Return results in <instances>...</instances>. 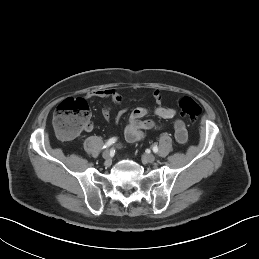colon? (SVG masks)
Masks as SVG:
<instances>
[{
    "mask_svg": "<svg viewBox=\"0 0 259 259\" xmlns=\"http://www.w3.org/2000/svg\"><path fill=\"white\" fill-rule=\"evenodd\" d=\"M181 114L195 122L201 113L199 104L191 97L184 96L178 101ZM91 123V111L82 98H69L61 102L55 110L53 127L62 137L72 139Z\"/></svg>",
    "mask_w": 259,
    "mask_h": 259,
    "instance_id": "5ec220e1",
    "label": "colon"
}]
</instances>
